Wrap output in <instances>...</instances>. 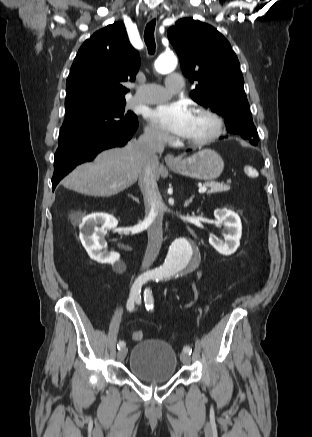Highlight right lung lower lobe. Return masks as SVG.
I'll use <instances>...</instances> for the list:
<instances>
[{"label": "right lung lower lobe", "mask_w": 312, "mask_h": 437, "mask_svg": "<svg viewBox=\"0 0 312 437\" xmlns=\"http://www.w3.org/2000/svg\"><path fill=\"white\" fill-rule=\"evenodd\" d=\"M138 122L116 131L104 132L59 146L54 156L52 190L77 165L91 161L102 150L124 146L137 129Z\"/></svg>", "instance_id": "1"}]
</instances>
